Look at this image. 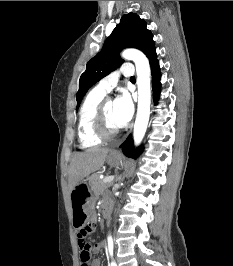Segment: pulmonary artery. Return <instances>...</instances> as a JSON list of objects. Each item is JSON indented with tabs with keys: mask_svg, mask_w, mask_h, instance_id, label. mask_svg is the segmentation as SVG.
I'll return each instance as SVG.
<instances>
[{
	"mask_svg": "<svg viewBox=\"0 0 233 266\" xmlns=\"http://www.w3.org/2000/svg\"><path fill=\"white\" fill-rule=\"evenodd\" d=\"M134 74V68L132 64H125L119 70L112 72L103 79H101L96 85V89L104 94H107L117 84L121 75L125 77H131Z\"/></svg>",
	"mask_w": 233,
	"mask_h": 266,
	"instance_id": "1",
	"label": "pulmonary artery"
}]
</instances>
